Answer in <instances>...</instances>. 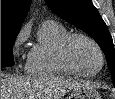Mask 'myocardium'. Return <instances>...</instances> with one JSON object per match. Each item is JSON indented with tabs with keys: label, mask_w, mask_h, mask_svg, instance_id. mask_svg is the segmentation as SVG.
Listing matches in <instances>:
<instances>
[{
	"label": "myocardium",
	"mask_w": 115,
	"mask_h": 99,
	"mask_svg": "<svg viewBox=\"0 0 115 99\" xmlns=\"http://www.w3.org/2000/svg\"><path fill=\"white\" fill-rule=\"evenodd\" d=\"M76 39H84V40L88 41L97 50L99 57H100V65H99L98 69L95 70L94 72L82 71L73 62L71 55H70V46H71L72 42ZM60 58H61L62 62L65 64V66L70 71H72L74 74H77V75L83 76V77H93V76L97 75L103 69L104 64H105V56H104V52H103L101 46L98 44V42L95 39H93L92 37H90L89 35L84 34V33H71L62 41L61 46H60Z\"/></svg>",
	"instance_id": "f54148a6"
}]
</instances>
